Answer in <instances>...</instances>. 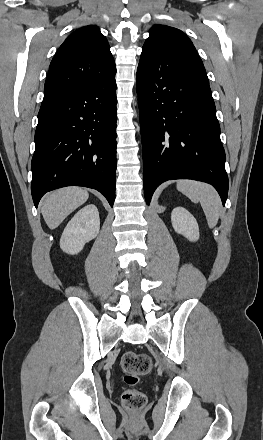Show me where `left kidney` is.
<instances>
[{"mask_svg": "<svg viewBox=\"0 0 263 440\" xmlns=\"http://www.w3.org/2000/svg\"><path fill=\"white\" fill-rule=\"evenodd\" d=\"M172 226L178 234L183 235L189 241L199 239V227L194 216L183 207H175L171 213Z\"/></svg>", "mask_w": 263, "mask_h": 440, "instance_id": "obj_1", "label": "left kidney"}]
</instances>
